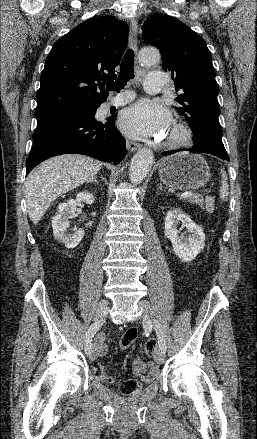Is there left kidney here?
<instances>
[{
  "label": "left kidney",
  "instance_id": "5707ae66",
  "mask_svg": "<svg viewBox=\"0 0 257 439\" xmlns=\"http://www.w3.org/2000/svg\"><path fill=\"white\" fill-rule=\"evenodd\" d=\"M180 223L187 228L181 236L177 229ZM164 234L171 241L175 255L184 262L194 260L204 249L205 234L202 228L176 209L168 211L166 215Z\"/></svg>",
  "mask_w": 257,
  "mask_h": 439
}]
</instances>
